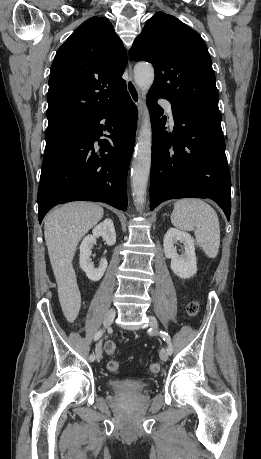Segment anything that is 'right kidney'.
<instances>
[{
	"mask_svg": "<svg viewBox=\"0 0 261 459\" xmlns=\"http://www.w3.org/2000/svg\"><path fill=\"white\" fill-rule=\"evenodd\" d=\"M101 236L107 245L112 246L116 242V233L113 221L105 219L98 224L92 231L91 235H87L80 245V267L86 273V276L91 281H99L107 269L108 262L106 259L100 261L99 267L94 268L91 261V249L96 243V237Z\"/></svg>",
	"mask_w": 261,
	"mask_h": 459,
	"instance_id": "obj_1",
	"label": "right kidney"
}]
</instances>
